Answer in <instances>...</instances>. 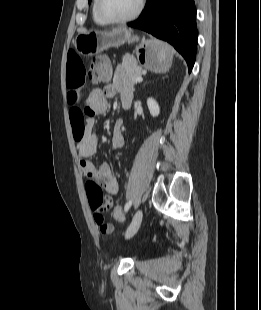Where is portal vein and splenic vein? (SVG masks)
Instances as JSON below:
<instances>
[{
    "label": "portal vein and splenic vein",
    "instance_id": "18ae733b",
    "mask_svg": "<svg viewBox=\"0 0 261 310\" xmlns=\"http://www.w3.org/2000/svg\"><path fill=\"white\" fill-rule=\"evenodd\" d=\"M133 81H135V82H141V81H143V78H142V77H137V78L133 79Z\"/></svg>",
    "mask_w": 261,
    "mask_h": 310
}]
</instances>
